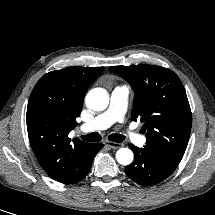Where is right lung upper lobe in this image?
I'll return each mask as SVG.
<instances>
[{
  "label": "right lung upper lobe",
  "instance_id": "1",
  "mask_svg": "<svg viewBox=\"0 0 215 215\" xmlns=\"http://www.w3.org/2000/svg\"><path fill=\"white\" fill-rule=\"evenodd\" d=\"M104 67H68L42 76L27 106V130L32 150L54 180L72 184L93 143L68 137L77 125L90 83Z\"/></svg>",
  "mask_w": 215,
  "mask_h": 215
}]
</instances>
